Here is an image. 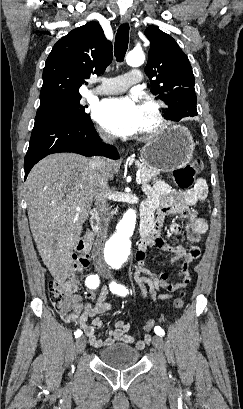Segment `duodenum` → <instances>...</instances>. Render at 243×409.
Here are the masks:
<instances>
[{"instance_id":"duodenum-1","label":"duodenum","mask_w":243,"mask_h":409,"mask_svg":"<svg viewBox=\"0 0 243 409\" xmlns=\"http://www.w3.org/2000/svg\"><path fill=\"white\" fill-rule=\"evenodd\" d=\"M91 224L97 234L101 233V212L98 208L92 211ZM154 215L150 210L142 211V218L140 223V233L142 238H147L155 229Z\"/></svg>"}]
</instances>
